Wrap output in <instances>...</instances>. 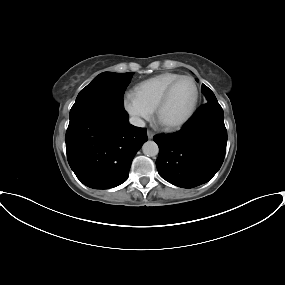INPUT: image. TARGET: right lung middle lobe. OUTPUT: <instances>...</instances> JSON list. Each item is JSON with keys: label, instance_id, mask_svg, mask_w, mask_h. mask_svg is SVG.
Masks as SVG:
<instances>
[{"label": "right lung middle lobe", "instance_id": "1", "mask_svg": "<svg viewBox=\"0 0 285 285\" xmlns=\"http://www.w3.org/2000/svg\"><path fill=\"white\" fill-rule=\"evenodd\" d=\"M131 73L103 72L78 94L70 110L72 118L79 112L95 106L104 105L117 110H124L123 94L132 78Z\"/></svg>", "mask_w": 285, "mask_h": 285}]
</instances>
